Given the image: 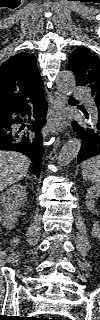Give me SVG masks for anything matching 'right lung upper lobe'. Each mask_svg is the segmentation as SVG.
<instances>
[{
    "mask_svg": "<svg viewBox=\"0 0 100 320\" xmlns=\"http://www.w3.org/2000/svg\"><path fill=\"white\" fill-rule=\"evenodd\" d=\"M36 58L21 52L0 67V118L42 93Z\"/></svg>",
    "mask_w": 100,
    "mask_h": 320,
    "instance_id": "obj_1",
    "label": "right lung upper lobe"
}]
</instances>
